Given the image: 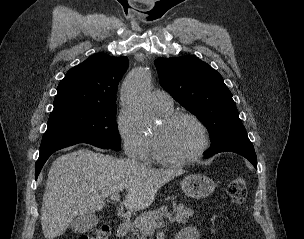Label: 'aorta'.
Listing matches in <instances>:
<instances>
[{
	"instance_id": "1",
	"label": "aorta",
	"mask_w": 304,
	"mask_h": 239,
	"mask_svg": "<svg viewBox=\"0 0 304 239\" xmlns=\"http://www.w3.org/2000/svg\"><path fill=\"white\" fill-rule=\"evenodd\" d=\"M151 79L148 71L139 68L133 71L123 82L121 102L129 109L135 120L146 125L151 119V108L148 101V91Z\"/></svg>"
}]
</instances>
